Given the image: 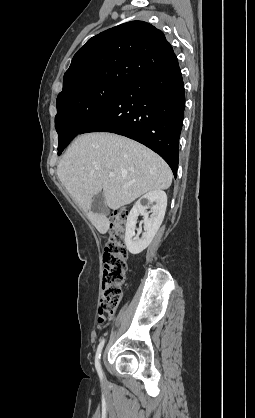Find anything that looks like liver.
<instances>
[{
	"label": "liver",
	"instance_id": "6515ba94",
	"mask_svg": "<svg viewBox=\"0 0 255 418\" xmlns=\"http://www.w3.org/2000/svg\"><path fill=\"white\" fill-rule=\"evenodd\" d=\"M57 175L101 234L108 231L109 220L91 211L92 198L99 192L103 190L106 204L115 210L172 183V171L159 155L129 138L105 132L78 136L59 162Z\"/></svg>",
	"mask_w": 255,
	"mask_h": 418
}]
</instances>
